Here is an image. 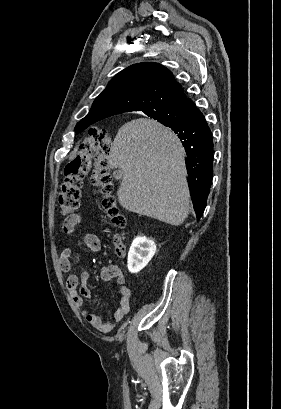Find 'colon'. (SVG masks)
Listing matches in <instances>:
<instances>
[{"instance_id":"1","label":"colon","mask_w":281,"mask_h":409,"mask_svg":"<svg viewBox=\"0 0 281 409\" xmlns=\"http://www.w3.org/2000/svg\"><path fill=\"white\" fill-rule=\"evenodd\" d=\"M113 146L112 135L104 129H91L79 151L65 165L58 202L61 213L70 222L80 205V189L83 176L90 162L94 164L93 185L100 196V207L107 212L116 227H123L125 218L113 196L108 195L113 188L112 176L108 169V155Z\"/></svg>"}]
</instances>
